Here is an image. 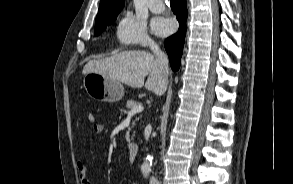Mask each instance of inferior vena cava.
I'll return each instance as SVG.
<instances>
[{
    "mask_svg": "<svg viewBox=\"0 0 293 184\" xmlns=\"http://www.w3.org/2000/svg\"><path fill=\"white\" fill-rule=\"evenodd\" d=\"M150 48L152 52L155 55L156 58V64L158 67V72L160 75V79L162 82L163 88H166L167 86V80H168V57L167 55L159 48L158 45L152 44L150 45ZM150 184H159L158 180L154 177H151Z\"/></svg>",
    "mask_w": 293,
    "mask_h": 184,
    "instance_id": "inferior-vena-cava-1",
    "label": "inferior vena cava"
}]
</instances>
